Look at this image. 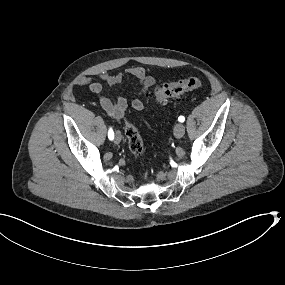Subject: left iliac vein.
I'll return each instance as SVG.
<instances>
[{
    "label": "left iliac vein",
    "mask_w": 285,
    "mask_h": 285,
    "mask_svg": "<svg viewBox=\"0 0 285 285\" xmlns=\"http://www.w3.org/2000/svg\"><path fill=\"white\" fill-rule=\"evenodd\" d=\"M185 134V127L183 124L178 123L175 125L174 127V135L177 138H181L183 137V135Z\"/></svg>",
    "instance_id": "obj_1"
}]
</instances>
